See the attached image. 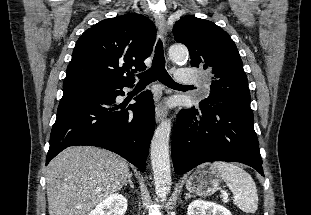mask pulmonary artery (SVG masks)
I'll return each instance as SVG.
<instances>
[{"label": "pulmonary artery", "mask_w": 311, "mask_h": 215, "mask_svg": "<svg viewBox=\"0 0 311 215\" xmlns=\"http://www.w3.org/2000/svg\"><path fill=\"white\" fill-rule=\"evenodd\" d=\"M176 79L180 83H197L200 80L188 69H178L176 71Z\"/></svg>", "instance_id": "obj_1"}]
</instances>
